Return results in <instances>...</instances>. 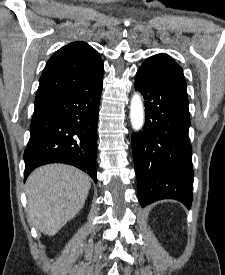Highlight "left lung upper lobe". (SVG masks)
<instances>
[{
  "mask_svg": "<svg viewBox=\"0 0 225 275\" xmlns=\"http://www.w3.org/2000/svg\"><path fill=\"white\" fill-rule=\"evenodd\" d=\"M139 70L187 96L183 70L169 55L160 53L149 57Z\"/></svg>",
  "mask_w": 225,
  "mask_h": 275,
  "instance_id": "1",
  "label": "left lung upper lobe"
}]
</instances>
